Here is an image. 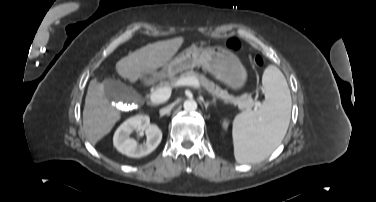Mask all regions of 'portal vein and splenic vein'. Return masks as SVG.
I'll use <instances>...</instances> for the list:
<instances>
[{"mask_svg": "<svg viewBox=\"0 0 376 202\" xmlns=\"http://www.w3.org/2000/svg\"><path fill=\"white\" fill-rule=\"evenodd\" d=\"M177 85H187L193 86L194 88L201 89V85L197 79L193 77H185L178 81ZM171 95V88L170 87H163L153 91L150 94V100L153 103H163L169 99Z\"/></svg>", "mask_w": 376, "mask_h": 202, "instance_id": "1", "label": "portal vein and splenic vein"}]
</instances>
